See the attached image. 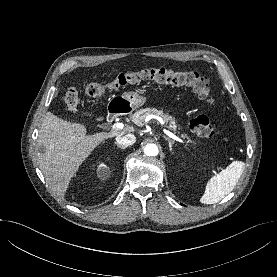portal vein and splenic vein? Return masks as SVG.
Segmentation results:
<instances>
[{
	"label": "portal vein and splenic vein",
	"mask_w": 277,
	"mask_h": 277,
	"mask_svg": "<svg viewBox=\"0 0 277 277\" xmlns=\"http://www.w3.org/2000/svg\"><path fill=\"white\" fill-rule=\"evenodd\" d=\"M124 128V125L122 124V123H115L113 126H112V129L115 131V130H121V129H123ZM164 131V133L167 135V136H169L170 138H172V139H174V140H176V141H178V142H180V143H183V140L182 139H180L179 137H177L176 135H174L172 132H170V131H168V130H166V129H164L163 130Z\"/></svg>",
	"instance_id": "obj_1"
}]
</instances>
